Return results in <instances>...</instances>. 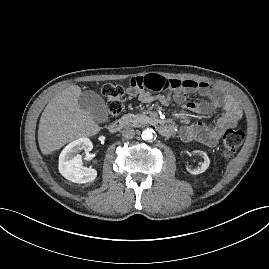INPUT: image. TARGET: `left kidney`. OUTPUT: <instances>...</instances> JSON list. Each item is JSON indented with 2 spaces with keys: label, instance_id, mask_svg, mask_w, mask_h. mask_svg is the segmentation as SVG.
I'll return each mask as SVG.
<instances>
[{
  "label": "left kidney",
  "instance_id": "left-kidney-1",
  "mask_svg": "<svg viewBox=\"0 0 269 269\" xmlns=\"http://www.w3.org/2000/svg\"><path fill=\"white\" fill-rule=\"evenodd\" d=\"M194 153L200 155L204 161L200 164V167H197L196 169H193L190 166H186V169L190 174L197 175L205 172L208 169L210 165V159L208 155L203 151L196 150Z\"/></svg>",
  "mask_w": 269,
  "mask_h": 269
}]
</instances>
